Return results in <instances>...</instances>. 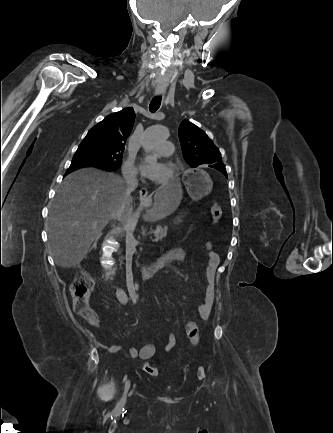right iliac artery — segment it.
<instances>
[{"instance_id":"obj_1","label":"right iliac artery","mask_w":333,"mask_h":433,"mask_svg":"<svg viewBox=\"0 0 333 433\" xmlns=\"http://www.w3.org/2000/svg\"><path fill=\"white\" fill-rule=\"evenodd\" d=\"M126 380H127V375L124 376L123 382H125ZM128 390L129 389L124 390V394H123L122 398L120 399L119 403L117 404V408H121L125 404Z\"/></svg>"}]
</instances>
